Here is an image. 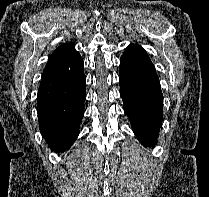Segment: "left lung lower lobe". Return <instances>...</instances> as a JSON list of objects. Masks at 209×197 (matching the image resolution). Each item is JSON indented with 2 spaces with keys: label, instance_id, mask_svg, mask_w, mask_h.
<instances>
[{
  "label": "left lung lower lobe",
  "instance_id": "1",
  "mask_svg": "<svg viewBox=\"0 0 209 197\" xmlns=\"http://www.w3.org/2000/svg\"><path fill=\"white\" fill-rule=\"evenodd\" d=\"M120 95L138 140L154 146L162 122L163 94L155 67L146 51L130 44L120 59Z\"/></svg>",
  "mask_w": 209,
  "mask_h": 197
}]
</instances>
